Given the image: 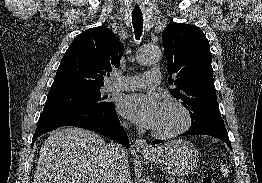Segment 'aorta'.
Segmentation results:
<instances>
[{"instance_id":"762f6f07","label":"aorta","mask_w":262,"mask_h":183,"mask_svg":"<svg viewBox=\"0 0 262 183\" xmlns=\"http://www.w3.org/2000/svg\"><path fill=\"white\" fill-rule=\"evenodd\" d=\"M162 56V52L158 47L144 46L136 55V60L140 65L147 66L157 63Z\"/></svg>"}]
</instances>
